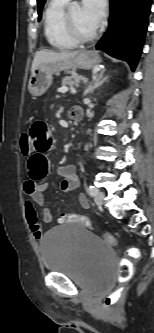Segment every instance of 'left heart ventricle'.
I'll list each match as a JSON object with an SVG mask.
<instances>
[{"mask_svg": "<svg viewBox=\"0 0 154 333\" xmlns=\"http://www.w3.org/2000/svg\"><path fill=\"white\" fill-rule=\"evenodd\" d=\"M70 14L77 29L84 35L93 33L96 29L90 26L82 15V9L79 4L70 6Z\"/></svg>", "mask_w": 154, "mask_h": 333, "instance_id": "1", "label": "left heart ventricle"}]
</instances>
